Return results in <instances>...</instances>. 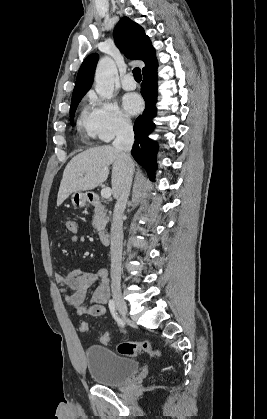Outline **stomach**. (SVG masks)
Listing matches in <instances>:
<instances>
[{
	"label": "stomach",
	"mask_w": 267,
	"mask_h": 419,
	"mask_svg": "<svg viewBox=\"0 0 267 419\" xmlns=\"http://www.w3.org/2000/svg\"><path fill=\"white\" fill-rule=\"evenodd\" d=\"M88 200H89V193H83L81 191H76L71 196V201L75 208L84 207Z\"/></svg>",
	"instance_id": "obj_1"
}]
</instances>
